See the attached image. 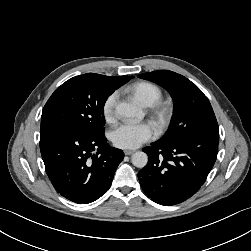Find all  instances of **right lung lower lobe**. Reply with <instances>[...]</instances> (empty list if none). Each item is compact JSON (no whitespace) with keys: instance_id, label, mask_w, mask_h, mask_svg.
<instances>
[{"instance_id":"1","label":"right lung lower lobe","mask_w":251,"mask_h":251,"mask_svg":"<svg viewBox=\"0 0 251 251\" xmlns=\"http://www.w3.org/2000/svg\"><path fill=\"white\" fill-rule=\"evenodd\" d=\"M106 142L104 133L84 134L62 126L41 130V155L55 190L78 204L101 197L124 158L122 150Z\"/></svg>"}]
</instances>
